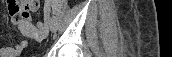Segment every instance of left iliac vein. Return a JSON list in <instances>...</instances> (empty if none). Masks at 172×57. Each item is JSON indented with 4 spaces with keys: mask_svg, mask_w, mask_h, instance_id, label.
Masks as SVG:
<instances>
[{
    "mask_svg": "<svg viewBox=\"0 0 172 57\" xmlns=\"http://www.w3.org/2000/svg\"><path fill=\"white\" fill-rule=\"evenodd\" d=\"M49 7L46 6L45 8V12H49ZM47 21H48V24H49V28L52 32L56 31L57 29V19L55 16H52V17H46Z\"/></svg>",
    "mask_w": 172,
    "mask_h": 57,
    "instance_id": "left-iliac-vein-1",
    "label": "left iliac vein"
}]
</instances>
